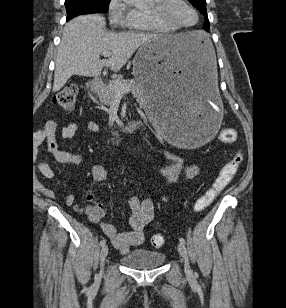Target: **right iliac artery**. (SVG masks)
Instances as JSON below:
<instances>
[{
  "instance_id": "right-iliac-artery-1",
  "label": "right iliac artery",
  "mask_w": 286,
  "mask_h": 308,
  "mask_svg": "<svg viewBox=\"0 0 286 308\" xmlns=\"http://www.w3.org/2000/svg\"><path fill=\"white\" fill-rule=\"evenodd\" d=\"M106 244V240L105 239H102L101 241H100V246H104Z\"/></svg>"
}]
</instances>
